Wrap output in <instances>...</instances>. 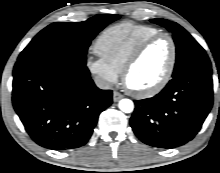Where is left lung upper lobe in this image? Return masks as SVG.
I'll list each match as a JSON object with an SVG mask.
<instances>
[{"label": "left lung upper lobe", "mask_w": 220, "mask_h": 173, "mask_svg": "<svg viewBox=\"0 0 220 173\" xmlns=\"http://www.w3.org/2000/svg\"><path fill=\"white\" fill-rule=\"evenodd\" d=\"M151 22L159 24L173 33L176 45V63L172 77L187 71L211 67L205 50L184 28L165 19H152Z\"/></svg>", "instance_id": "5c2ea615"}]
</instances>
